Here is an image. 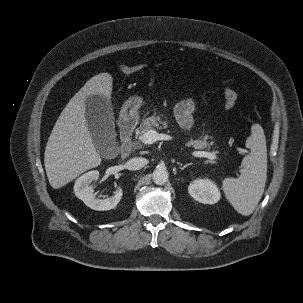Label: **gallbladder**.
<instances>
[{
    "instance_id": "obj_1",
    "label": "gallbladder",
    "mask_w": 303,
    "mask_h": 303,
    "mask_svg": "<svg viewBox=\"0 0 303 303\" xmlns=\"http://www.w3.org/2000/svg\"><path fill=\"white\" fill-rule=\"evenodd\" d=\"M86 118L94 145L102 155H105L115 141L114 117L110 102L103 96H88Z\"/></svg>"
}]
</instances>
